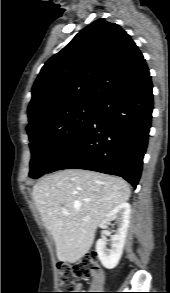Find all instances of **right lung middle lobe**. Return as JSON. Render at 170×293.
<instances>
[{
    "label": "right lung middle lobe",
    "mask_w": 170,
    "mask_h": 293,
    "mask_svg": "<svg viewBox=\"0 0 170 293\" xmlns=\"http://www.w3.org/2000/svg\"><path fill=\"white\" fill-rule=\"evenodd\" d=\"M97 105H79L44 123L27 129L32 159L30 173L39 178L89 127L95 118Z\"/></svg>",
    "instance_id": "obj_1"
}]
</instances>
